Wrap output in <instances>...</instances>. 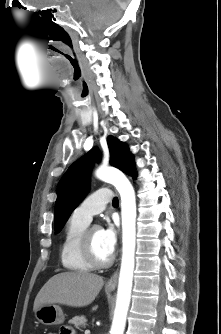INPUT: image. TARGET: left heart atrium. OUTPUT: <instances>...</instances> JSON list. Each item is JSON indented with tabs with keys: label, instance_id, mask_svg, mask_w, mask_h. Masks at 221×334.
<instances>
[{
	"label": "left heart atrium",
	"instance_id": "1",
	"mask_svg": "<svg viewBox=\"0 0 221 334\" xmlns=\"http://www.w3.org/2000/svg\"><path fill=\"white\" fill-rule=\"evenodd\" d=\"M102 241L105 247L110 251L114 252L117 245V228L111 222L101 229Z\"/></svg>",
	"mask_w": 221,
	"mask_h": 334
}]
</instances>
